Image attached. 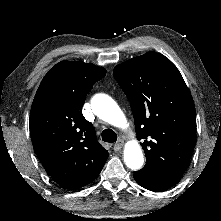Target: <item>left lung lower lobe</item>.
Instances as JSON below:
<instances>
[{"label": "left lung lower lobe", "mask_w": 221, "mask_h": 221, "mask_svg": "<svg viewBox=\"0 0 221 221\" xmlns=\"http://www.w3.org/2000/svg\"><path fill=\"white\" fill-rule=\"evenodd\" d=\"M134 179L139 185L148 190L161 192L177 184L181 178L140 177L134 173Z\"/></svg>", "instance_id": "0a47b994"}]
</instances>
